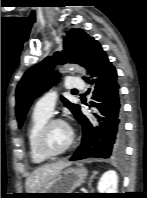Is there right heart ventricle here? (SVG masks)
<instances>
[{"label":"right heart ventricle","instance_id":"right-heart-ventricle-1","mask_svg":"<svg viewBox=\"0 0 147 198\" xmlns=\"http://www.w3.org/2000/svg\"><path fill=\"white\" fill-rule=\"evenodd\" d=\"M49 119V116L33 113L31 120L26 130V142L28 148V154L31 161L35 164H42L47 161L48 158L39 153L36 147V137L42 127V125Z\"/></svg>","mask_w":147,"mask_h":198}]
</instances>
